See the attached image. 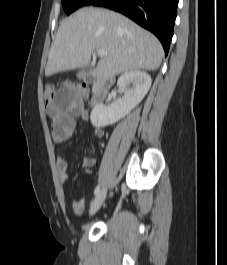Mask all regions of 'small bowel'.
Segmentation results:
<instances>
[{"label":"small bowel","mask_w":227,"mask_h":265,"mask_svg":"<svg viewBox=\"0 0 227 265\" xmlns=\"http://www.w3.org/2000/svg\"><path fill=\"white\" fill-rule=\"evenodd\" d=\"M83 91H77V87H57V91H53L50 102H45L47 114L52 119L51 133L56 143H62L70 139L75 131L76 118L83 120L89 119V113L84 108L87 107L85 99H82ZM94 134L97 138L104 136V130L96 127ZM96 158L93 156H85L82 166L89 168L94 166ZM57 172L60 182L66 185L68 182V162L65 158L59 157L56 161ZM72 208L75 214L81 215L85 210L84 199L74 200Z\"/></svg>","instance_id":"c3829d8e"}]
</instances>
